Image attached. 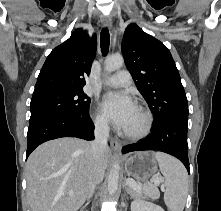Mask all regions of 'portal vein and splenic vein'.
<instances>
[{
    "instance_id": "portal-vein-and-splenic-vein-1",
    "label": "portal vein and splenic vein",
    "mask_w": 221,
    "mask_h": 211,
    "mask_svg": "<svg viewBox=\"0 0 221 211\" xmlns=\"http://www.w3.org/2000/svg\"><path fill=\"white\" fill-rule=\"evenodd\" d=\"M162 177L161 176H157V177H153L152 181L155 183V185H159L161 183ZM126 183L131 186L132 188L136 189L137 191H141V186L133 179H126Z\"/></svg>"
}]
</instances>
